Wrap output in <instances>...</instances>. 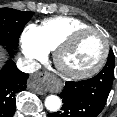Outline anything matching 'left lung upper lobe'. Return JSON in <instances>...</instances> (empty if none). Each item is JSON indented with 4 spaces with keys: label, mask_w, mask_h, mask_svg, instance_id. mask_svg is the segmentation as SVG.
Returning a JSON list of instances; mask_svg holds the SVG:
<instances>
[{
    "label": "left lung upper lobe",
    "mask_w": 117,
    "mask_h": 117,
    "mask_svg": "<svg viewBox=\"0 0 117 117\" xmlns=\"http://www.w3.org/2000/svg\"><path fill=\"white\" fill-rule=\"evenodd\" d=\"M114 65H115V57H114V53L112 50H110L109 52V57H108V60H107V63L105 65V67H108V69L111 70L112 72V76L114 74Z\"/></svg>",
    "instance_id": "5c2ea615"
}]
</instances>
